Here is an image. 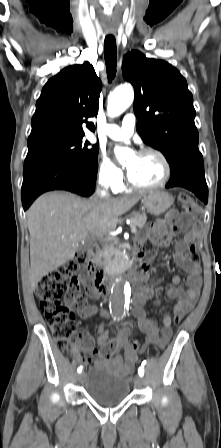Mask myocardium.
<instances>
[{
  "label": "myocardium",
  "instance_id": "obj_1",
  "mask_svg": "<svg viewBox=\"0 0 221 448\" xmlns=\"http://www.w3.org/2000/svg\"><path fill=\"white\" fill-rule=\"evenodd\" d=\"M147 154H152L156 157L159 158V160L161 161L163 167H164V176L163 178L152 185H144V184H139L136 181H134L130 174H128L127 176V181L129 183V185L133 188L136 189H142V190H149V189H156V188H160L162 186H164L171 178L172 175V165L170 163V160L168 159V157L160 150L153 148V147H145L142 148L141 150L138 151L137 155H147Z\"/></svg>",
  "mask_w": 221,
  "mask_h": 448
}]
</instances>
